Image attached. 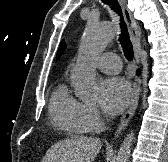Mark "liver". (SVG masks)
<instances>
[{
  "instance_id": "6515ba94",
  "label": "liver",
  "mask_w": 168,
  "mask_h": 162,
  "mask_svg": "<svg viewBox=\"0 0 168 162\" xmlns=\"http://www.w3.org/2000/svg\"><path fill=\"white\" fill-rule=\"evenodd\" d=\"M101 147L99 138L65 139L52 145L41 162H93Z\"/></svg>"
}]
</instances>
